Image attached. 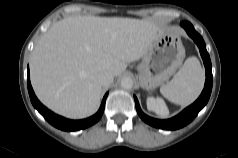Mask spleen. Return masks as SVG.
Returning a JSON list of instances; mask_svg holds the SVG:
<instances>
[{
  "label": "spleen",
  "mask_w": 238,
  "mask_h": 158,
  "mask_svg": "<svg viewBox=\"0 0 238 158\" xmlns=\"http://www.w3.org/2000/svg\"><path fill=\"white\" fill-rule=\"evenodd\" d=\"M204 71L198 58L189 57L172 81L160 87L161 94L172 103L186 106L200 95L204 85Z\"/></svg>",
  "instance_id": "1"
}]
</instances>
